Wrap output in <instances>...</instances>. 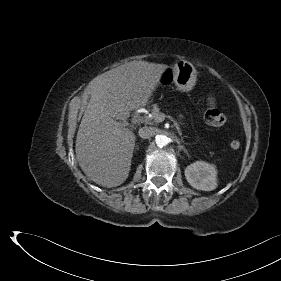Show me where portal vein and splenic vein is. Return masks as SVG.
Returning a JSON list of instances; mask_svg holds the SVG:
<instances>
[{"label": "portal vein and splenic vein", "mask_w": 281, "mask_h": 281, "mask_svg": "<svg viewBox=\"0 0 281 281\" xmlns=\"http://www.w3.org/2000/svg\"><path fill=\"white\" fill-rule=\"evenodd\" d=\"M165 116L164 114L159 118L160 121L164 120Z\"/></svg>", "instance_id": "obj_1"}]
</instances>
